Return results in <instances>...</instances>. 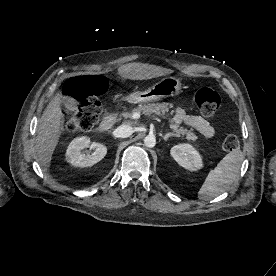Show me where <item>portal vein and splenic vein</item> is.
<instances>
[{"label":"portal vein and splenic vein","mask_w":276,"mask_h":276,"mask_svg":"<svg viewBox=\"0 0 276 276\" xmlns=\"http://www.w3.org/2000/svg\"><path fill=\"white\" fill-rule=\"evenodd\" d=\"M133 117H134L135 119L140 118V113L135 112V113L133 114ZM155 119L157 120V118H155Z\"/></svg>","instance_id":"obj_1"}]
</instances>
